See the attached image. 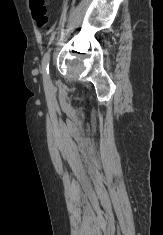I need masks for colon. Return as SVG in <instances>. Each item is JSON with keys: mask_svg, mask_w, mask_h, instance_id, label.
<instances>
[{"mask_svg": "<svg viewBox=\"0 0 163 235\" xmlns=\"http://www.w3.org/2000/svg\"><path fill=\"white\" fill-rule=\"evenodd\" d=\"M29 5L37 26L40 28L45 27L49 22L45 0H29Z\"/></svg>", "mask_w": 163, "mask_h": 235, "instance_id": "obj_1", "label": "colon"}]
</instances>
